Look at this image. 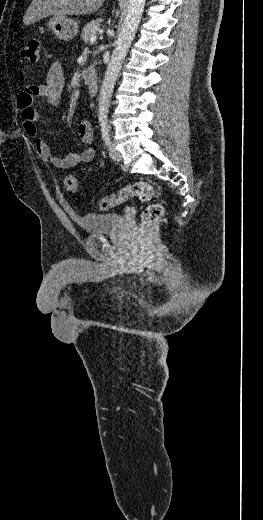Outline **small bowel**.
Returning <instances> with one entry per match:
<instances>
[{
    "instance_id": "c3829d8e",
    "label": "small bowel",
    "mask_w": 263,
    "mask_h": 520,
    "mask_svg": "<svg viewBox=\"0 0 263 520\" xmlns=\"http://www.w3.org/2000/svg\"><path fill=\"white\" fill-rule=\"evenodd\" d=\"M64 88V72L59 62H54L45 78L40 84L30 85L18 96V106L22 113L23 129L28 136L34 138V146L38 156L46 163L56 168H72L80 163H88L93 160L95 151L87 147L81 152L68 154L64 157L52 154L48 144L37 136V124L39 114L34 106L36 97L45 98L52 103L59 102ZM78 135L81 142L90 145L93 141V127L89 120H84L78 125Z\"/></svg>"
}]
</instances>
